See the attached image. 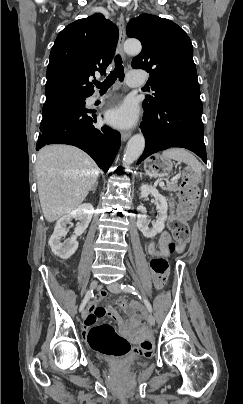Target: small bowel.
Segmentation results:
<instances>
[{
	"mask_svg": "<svg viewBox=\"0 0 243 404\" xmlns=\"http://www.w3.org/2000/svg\"><path fill=\"white\" fill-rule=\"evenodd\" d=\"M168 238V234L167 233H163L162 234V241L167 240ZM148 251L152 256H159L162 255L163 252H160L156 249L155 243L151 242L148 246ZM104 296V294H100V296L98 297V300H100L102 297ZM107 314H115L114 310L111 307H102V306H92L90 309L89 314H87L86 318L84 319L83 322V332L87 333V331L93 326L95 325L96 321L107 315ZM120 322V320H119ZM137 321L136 320H132L131 322L128 323H121L120 322V333L122 336L130 338L132 340L136 339V335L132 332L133 328L136 326Z\"/></svg>",
	"mask_w": 243,
	"mask_h": 404,
	"instance_id": "obj_1",
	"label": "small bowel"
}]
</instances>
